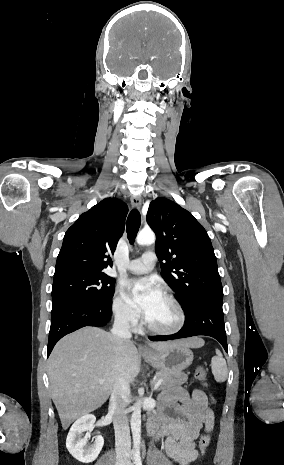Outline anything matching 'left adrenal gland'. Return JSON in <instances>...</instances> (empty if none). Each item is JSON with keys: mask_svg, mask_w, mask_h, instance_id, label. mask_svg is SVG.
<instances>
[{"mask_svg": "<svg viewBox=\"0 0 284 465\" xmlns=\"http://www.w3.org/2000/svg\"><path fill=\"white\" fill-rule=\"evenodd\" d=\"M151 387H154V383H153V381H151Z\"/></svg>", "mask_w": 284, "mask_h": 465, "instance_id": "a2214340", "label": "left adrenal gland"}]
</instances>
